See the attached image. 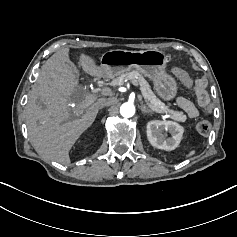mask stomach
Wrapping results in <instances>:
<instances>
[{
  "label": "stomach",
  "instance_id": "stomach-1",
  "mask_svg": "<svg viewBox=\"0 0 237 237\" xmlns=\"http://www.w3.org/2000/svg\"><path fill=\"white\" fill-rule=\"evenodd\" d=\"M167 62L164 52L157 49L109 50L100 59L106 78L112 79L135 68L153 81L154 89L162 99L171 100L177 94V83L165 71Z\"/></svg>",
  "mask_w": 237,
  "mask_h": 237
}]
</instances>
